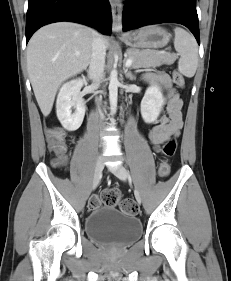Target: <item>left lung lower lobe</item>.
Returning a JSON list of instances; mask_svg holds the SVG:
<instances>
[{
    "instance_id": "obj_1",
    "label": "left lung lower lobe",
    "mask_w": 231,
    "mask_h": 281,
    "mask_svg": "<svg viewBox=\"0 0 231 281\" xmlns=\"http://www.w3.org/2000/svg\"><path fill=\"white\" fill-rule=\"evenodd\" d=\"M164 22H175L186 26L200 44L196 0H129L125 2L122 14L123 31Z\"/></svg>"
}]
</instances>
